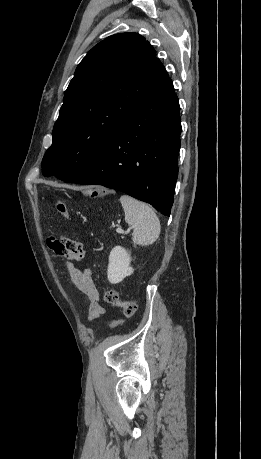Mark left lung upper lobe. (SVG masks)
I'll use <instances>...</instances> for the list:
<instances>
[{"label": "left lung upper lobe", "instance_id": "1", "mask_svg": "<svg viewBox=\"0 0 261 459\" xmlns=\"http://www.w3.org/2000/svg\"><path fill=\"white\" fill-rule=\"evenodd\" d=\"M167 77L154 48L137 33L112 35L94 46L65 92L43 175L65 181L90 165Z\"/></svg>", "mask_w": 261, "mask_h": 459}]
</instances>
